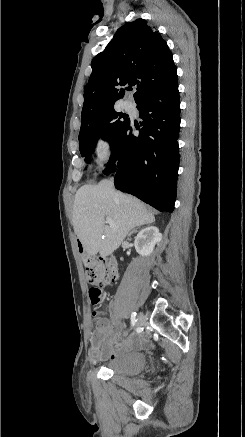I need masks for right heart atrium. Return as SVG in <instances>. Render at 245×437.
<instances>
[{
    "label": "right heart atrium",
    "instance_id": "obj_1",
    "mask_svg": "<svg viewBox=\"0 0 245 437\" xmlns=\"http://www.w3.org/2000/svg\"><path fill=\"white\" fill-rule=\"evenodd\" d=\"M112 150L113 146L110 136L104 131L99 132L93 140V153L100 166L103 167L109 162Z\"/></svg>",
    "mask_w": 245,
    "mask_h": 437
}]
</instances>
